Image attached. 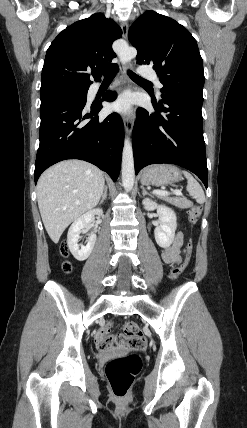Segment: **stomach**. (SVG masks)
I'll list each match as a JSON object with an SVG mask.
<instances>
[{"label":"stomach","mask_w":247,"mask_h":428,"mask_svg":"<svg viewBox=\"0 0 247 428\" xmlns=\"http://www.w3.org/2000/svg\"><path fill=\"white\" fill-rule=\"evenodd\" d=\"M182 178L179 169L170 164H156L147 167L142 175L141 182L145 185H167Z\"/></svg>","instance_id":"1"}]
</instances>
